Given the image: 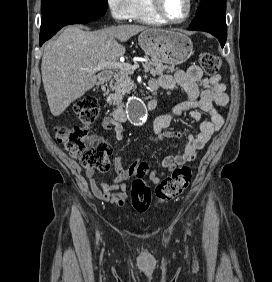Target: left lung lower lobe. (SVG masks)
<instances>
[{"instance_id":"obj_1","label":"left lung lower lobe","mask_w":272,"mask_h":282,"mask_svg":"<svg viewBox=\"0 0 272 282\" xmlns=\"http://www.w3.org/2000/svg\"><path fill=\"white\" fill-rule=\"evenodd\" d=\"M188 30L209 32L219 39L223 47L227 38L224 0H202Z\"/></svg>"}]
</instances>
